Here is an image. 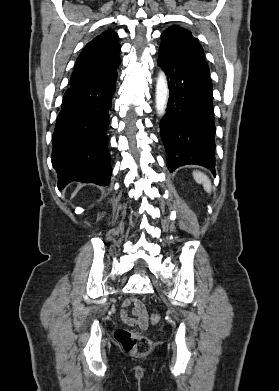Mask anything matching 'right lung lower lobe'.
Returning <instances> with one entry per match:
<instances>
[{
    "label": "right lung lower lobe",
    "mask_w": 279,
    "mask_h": 391,
    "mask_svg": "<svg viewBox=\"0 0 279 391\" xmlns=\"http://www.w3.org/2000/svg\"><path fill=\"white\" fill-rule=\"evenodd\" d=\"M116 80L117 72L65 92L53 133L52 165L59 190L72 181L109 184L107 128Z\"/></svg>",
    "instance_id": "1"
}]
</instances>
